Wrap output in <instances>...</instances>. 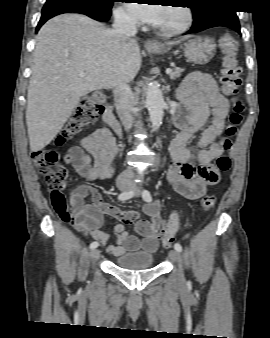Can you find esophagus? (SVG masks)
<instances>
[{
    "label": "esophagus",
    "instance_id": "esophagus-1",
    "mask_svg": "<svg viewBox=\"0 0 270 338\" xmlns=\"http://www.w3.org/2000/svg\"><path fill=\"white\" fill-rule=\"evenodd\" d=\"M144 44L145 47H153L158 45V43L154 40H146Z\"/></svg>",
    "mask_w": 270,
    "mask_h": 338
}]
</instances>
